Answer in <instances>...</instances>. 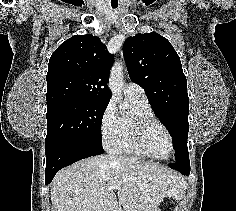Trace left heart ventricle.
<instances>
[{
	"label": "left heart ventricle",
	"mask_w": 236,
	"mask_h": 211,
	"mask_svg": "<svg viewBox=\"0 0 236 211\" xmlns=\"http://www.w3.org/2000/svg\"><path fill=\"white\" fill-rule=\"evenodd\" d=\"M142 144L146 151L156 156H166L170 150L168 136L159 126H153L146 131Z\"/></svg>",
	"instance_id": "left-heart-ventricle-1"
}]
</instances>
